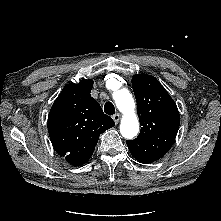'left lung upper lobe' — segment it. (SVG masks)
Here are the masks:
<instances>
[{
  "mask_svg": "<svg viewBox=\"0 0 221 221\" xmlns=\"http://www.w3.org/2000/svg\"><path fill=\"white\" fill-rule=\"evenodd\" d=\"M132 87L142 127L138 137L126 143L137 161L152 163L163 157L175 141L180 124L178 108L165 88L151 75H135Z\"/></svg>",
  "mask_w": 221,
  "mask_h": 221,
  "instance_id": "left-lung-upper-lobe-1",
  "label": "left lung upper lobe"
}]
</instances>
